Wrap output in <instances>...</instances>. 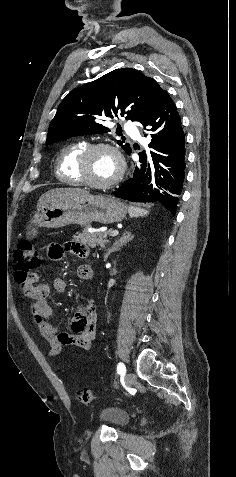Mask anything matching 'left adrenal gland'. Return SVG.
I'll use <instances>...</instances> for the list:
<instances>
[{
    "label": "left adrenal gland",
    "mask_w": 236,
    "mask_h": 477,
    "mask_svg": "<svg viewBox=\"0 0 236 477\" xmlns=\"http://www.w3.org/2000/svg\"><path fill=\"white\" fill-rule=\"evenodd\" d=\"M133 235L130 233V232H124L123 236L115 241V243L113 244V246L108 250V252L105 254V260L108 258V256L114 252V251H118L121 247H123L124 245H126L128 242H130L132 239H133Z\"/></svg>",
    "instance_id": "a2214340"
}]
</instances>
